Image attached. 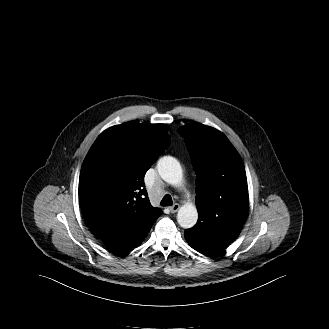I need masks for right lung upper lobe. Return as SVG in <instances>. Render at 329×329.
Wrapping results in <instances>:
<instances>
[{"mask_svg":"<svg viewBox=\"0 0 329 329\" xmlns=\"http://www.w3.org/2000/svg\"><path fill=\"white\" fill-rule=\"evenodd\" d=\"M169 143L165 125L131 122L96 139L82 164L79 200L88 227L102 242L140 233L161 215L150 204L144 175Z\"/></svg>","mask_w":329,"mask_h":329,"instance_id":"right-lung-upper-lobe-1","label":"right lung upper lobe"}]
</instances>
